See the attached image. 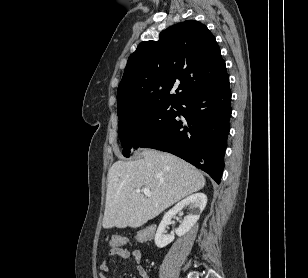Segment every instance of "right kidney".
Segmentation results:
<instances>
[{"instance_id":"1","label":"right kidney","mask_w":308,"mask_h":278,"mask_svg":"<svg viewBox=\"0 0 308 278\" xmlns=\"http://www.w3.org/2000/svg\"><path fill=\"white\" fill-rule=\"evenodd\" d=\"M207 204V196L203 193H196L179 202L173 209L167 212L159 224L155 235V244L158 248L167 246L174 240V235L166 234V227L171 224V219L174 215L180 212L184 207L189 206L192 213L184 217L176 230V235L179 237L187 233L194 224L198 221L201 212Z\"/></svg>"}]
</instances>
